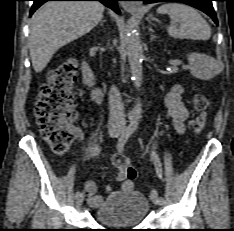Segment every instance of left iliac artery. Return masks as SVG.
<instances>
[{
  "label": "left iliac artery",
  "instance_id": "44dca946",
  "mask_svg": "<svg viewBox=\"0 0 234 231\" xmlns=\"http://www.w3.org/2000/svg\"><path fill=\"white\" fill-rule=\"evenodd\" d=\"M137 127H138V121L137 120L131 122V124L127 128L126 132L123 133L121 135V137L118 139L117 149H118L119 152H122L124 150V146H125L127 140L136 131ZM151 157H152L154 165H155L157 176L159 178H161V176H162V167H161V162H160L159 156L157 155V153L155 151H152L151 152ZM158 200H159L160 204L164 203V198L162 196H159Z\"/></svg>",
  "mask_w": 234,
  "mask_h": 231
}]
</instances>
